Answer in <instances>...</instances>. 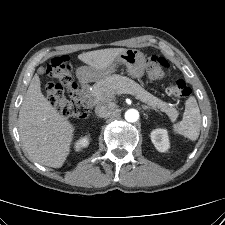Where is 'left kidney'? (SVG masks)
Wrapping results in <instances>:
<instances>
[{
  "label": "left kidney",
  "mask_w": 225,
  "mask_h": 225,
  "mask_svg": "<svg viewBox=\"0 0 225 225\" xmlns=\"http://www.w3.org/2000/svg\"><path fill=\"white\" fill-rule=\"evenodd\" d=\"M151 140L159 152H165L169 148L168 134L165 129H156L151 133Z\"/></svg>",
  "instance_id": "1"
}]
</instances>
